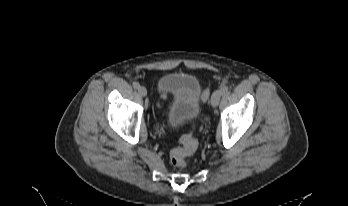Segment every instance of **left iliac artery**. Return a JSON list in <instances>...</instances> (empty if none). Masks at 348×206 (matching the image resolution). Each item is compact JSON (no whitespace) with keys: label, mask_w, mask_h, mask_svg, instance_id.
Returning <instances> with one entry per match:
<instances>
[{"label":"left iliac artery","mask_w":348,"mask_h":206,"mask_svg":"<svg viewBox=\"0 0 348 206\" xmlns=\"http://www.w3.org/2000/svg\"><path fill=\"white\" fill-rule=\"evenodd\" d=\"M220 90H221L222 94H226L228 92V86L227 85H222L220 87Z\"/></svg>","instance_id":"1"}]
</instances>
